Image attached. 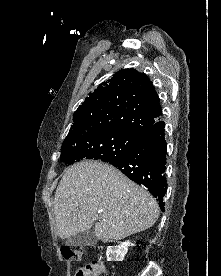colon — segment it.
<instances>
[{
  "label": "colon",
  "instance_id": "5ec220e1",
  "mask_svg": "<svg viewBox=\"0 0 221 276\" xmlns=\"http://www.w3.org/2000/svg\"><path fill=\"white\" fill-rule=\"evenodd\" d=\"M63 258L69 262H77L81 258V248L65 246L61 249ZM108 271L102 261H93L76 271L75 276H106Z\"/></svg>",
  "mask_w": 221,
  "mask_h": 276
}]
</instances>
